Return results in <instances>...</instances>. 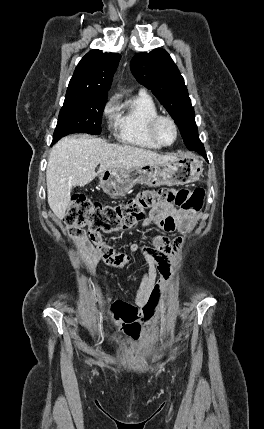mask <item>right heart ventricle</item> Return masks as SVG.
I'll use <instances>...</instances> for the list:
<instances>
[{
	"label": "right heart ventricle",
	"mask_w": 264,
	"mask_h": 429,
	"mask_svg": "<svg viewBox=\"0 0 264 429\" xmlns=\"http://www.w3.org/2000/svg\"><path fill=\"white\" fill-rule=\"evenodd\" d=\"M159 114L154 100L145 93L134 96L123 106L115 120V137L127 145L157 150L161 148L149 135L150 120Z\"/></svg>",
	"instance_id": "e07e8e85"
}]
</instances>
